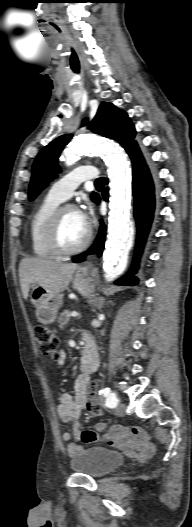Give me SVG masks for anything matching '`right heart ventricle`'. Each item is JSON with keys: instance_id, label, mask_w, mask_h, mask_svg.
I'll use <instances>...</instances> for the list:
<instances>
[{"instance_id": "1", "label": "right heart ventricle", "mask_w": 192, "mask_h": 527, "mask_svg": "<svg viewBox=\"0 0 192 527\" xmlns=\"http://www.w3.org/2000/svg\"><path fill=\"white\" fill-rule=\"evenodd\" d=\"M62 201L47 195L32 215L29 237L32 253L39 258H52L56 254L47 242V231L54 212Z\"/></svg>"}]
</instances>
